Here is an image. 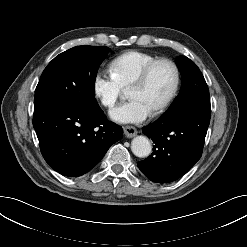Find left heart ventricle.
<instances>
[{"label":"left heart ventricle","instance_id":"obj_1","mask_svg":"<svg viewBox=\"0 0 247 247\" xmlns=\"http://www.w3.org/2000/svg\"><path fill=\"white\" fill-rule=\"evenodd\" d=\"M173 77V71L168 65H159L143 86L128 90L127 95L131 99L139 100L152 110L168 94Z\"/></svg>","mask_w":247,"mask_h":247}]
</instances>
